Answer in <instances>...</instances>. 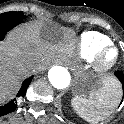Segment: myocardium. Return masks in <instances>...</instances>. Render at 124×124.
<instances>
[{"instance_id":"f54148a6","label":"myocardium","mask_w":124,"mask_h":124,"mask_svg":"<svg viewBox=\"0 0 124 124\" xmlns=\"http://www.w3.org/2000/svg\"><path fill=\"white\" fill-rule=\"evenodd\" d=\"M112 51L115 52V56L111 61H108L107 56ZM121 56V51L114 44L102 47L92 60L94 71L99 74H106L112 71L118 65Z\"/></svg>"}]
</instances>
